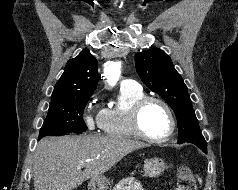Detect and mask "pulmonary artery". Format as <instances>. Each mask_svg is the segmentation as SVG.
<instances>
[{
	"label": "pulmonary artery",
	"instance_id": "e3ab8cb5",
	"mask_svg": "<svg viewBox=\"0 0 238 190\" xmlns=\"http://www.w3.org/2000/svg\"><path fill=\"white\" fill-rule=\"evenodd\" d=\"M140 85L132 79H124L121 82V89H139Z\"/></svg>",
	"mask_w": 238,
	"mask_h": 190
}]
</instances>
